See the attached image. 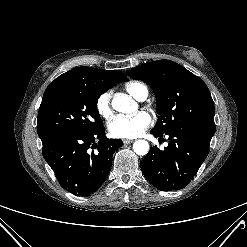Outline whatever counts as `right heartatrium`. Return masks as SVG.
<instances>
[{"label":"right heart atrium","instance_id":"right-heart-atrium-1","mask_svg":"<svg viewBox=\"0 0 247 247\" xmlns=\"http://www.w3.org/2000/svg\"><path fill=\"white\" fill-rule=\"evenodd\" d=\"M111 98V91L106 90L102 92L96 99L95 108L98 114L103 118H109L112 114Z\"/></svg>","mask_w":247,"mask_h":247}]
</instances>
